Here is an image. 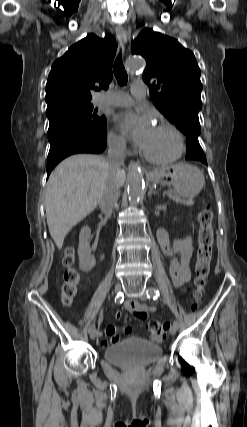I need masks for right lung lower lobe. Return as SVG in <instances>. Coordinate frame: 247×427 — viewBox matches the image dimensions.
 <instances>
[{"label":"right lung lower lobe","mask_w":247,"mask_h":427,"mask_svg":"<svg viewBox=\"0 0 247 427\" xmlns=\"http://www.w3.org/2000/svg\"><path fill=\"white\" fill-rule=\"evenodd\" d=\"M50 150L47 157V177L64 158L76 153H101L106 148V138L77 124L55 120L48 129Z\"/></svg>","instance_id":"98d812e1"}]
</instances>
